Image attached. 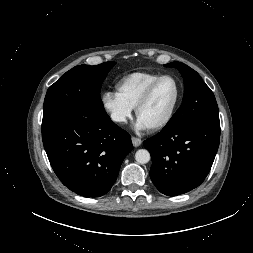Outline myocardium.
<instances>
[{
    "label": "myocardium",
    "instance_id": "f54148a6",
    "mask_svg": "<svg viewBox=\"0 0 253 253\" xmlns=\"http://www.w3.org/2000/svg\"><path fill=\"white\" fill-rule=\"evenodd\" d=\"M167 78L172 79L175 82L176 89H177L176 97H175V100H174L167 116L162 121H160L159 123H157L153 126H150V127H146V129L148 131H151V132H156V131L162 130L163 128H165L172 121V119H173V117L176 113V110L178 108V105L180 103V100H181L182 90H181V85H180L179 80L175 76L170 75V74L161 75L160 77H158L155 81H153L148 86V88L142 94V96L138 100L136 106L134 107L135 116L138 119V116H139V113H140L141 109L148 103V101L150 100V98H151L154 90L156 89V87L159 85V83L161 81H163L164 79H167Z\"/></svg>",
    "mask_w": 253,
    "mask_h": 253
}]
</instances>
